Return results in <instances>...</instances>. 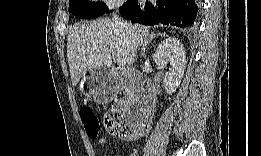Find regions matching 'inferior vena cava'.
<instances>
[{
  "label": "inferior vena cava",
  "mask_w": 261,
  "mask_h": 156,
  "mask_svg": "<svg viewBox=\"0 0 261 156\" xmlns=\"http://www.w3.org/2000/svg\"><path fill=\"white\" fill-rule=\"evenodd\" d=\"M120 5H121L120 2H115V3L112 4V9H117V8H119ZM113 21H114L115 25L120 27L124 31L125 35L130 39L128 43L132 47V54H133V56H135L136 50L132 46L131 31H130L129 27L121 19V17H119L117 14L113 15Z\"/></svg>",
  "instance_id": "1"
}]
</instances>
